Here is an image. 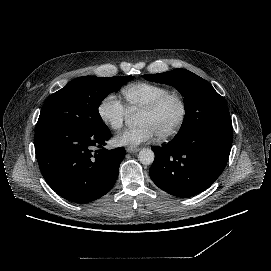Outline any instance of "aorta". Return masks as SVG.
Returning <instances> with one entry per match:
<instances>
[{"label": "aorta", "mask_w": 271, "mask_h": 271, "mask_svg": "<svg viewBox=\"0 0 271 271\" xmlns=\"http://www.w3.org/2000/svg\"><path fill=\"white\" fill-rule=\"evenodd\" d=\"M154 152L149 148L142 149L138 154V159L143 165H151L154 161Z\"/></svg>", "instance_id": "obj_1"}]
</instances>
